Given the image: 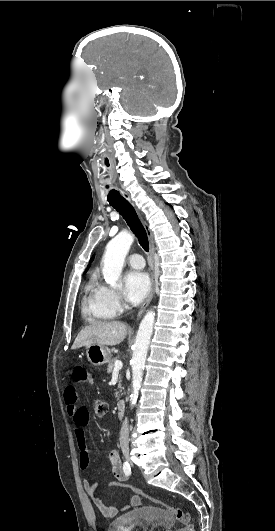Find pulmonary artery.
<instances>
[{
    "instance_id": "e3ab8cb5",
    "label": "pulmonary artery",
    "mask_w": 275,
    "mask_h": 531,
    "mask_svg": "<svg viewBox=\"0 0 275 531\" xmlns=\"http://www.w3.org/2000/svg\"><path fill=\"white\" fill-rule=\"evenodd\" d=\"M126 262L131 267H136V268L144 267V259L141 255H138V254H133L132 256H129V258L126 259Z\"/></svg>"
}]
</instances>
